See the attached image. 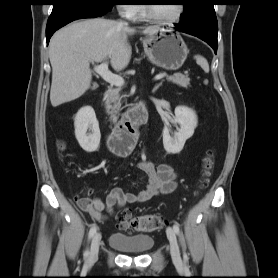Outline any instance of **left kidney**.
Segmentation results:
<instances>
[{"mask_svg":"<svg viewBox=\"0 0 278 278\" xmlns=\"http://www.w3.org/2000/svg\"><path fill=\"white\" fill-rule=\"evenodd\" d=\"M196 113L185 106H177L175 108V117L173 123L179 124L178 132L174 136H170L169 125H165L163 129V146L166 152L171 154L179 153L186 142L193 134L197 126Z\"/></svg>","mask_w":278,"mask_h":278,"instance_id":"5707ae66","label":"left kidney"}]
</instances>
